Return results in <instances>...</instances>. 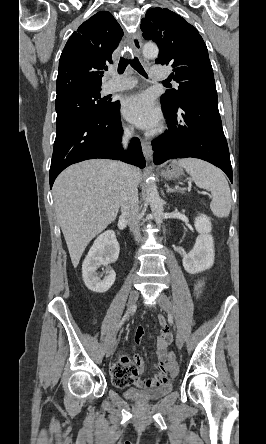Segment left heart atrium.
<instances>
[{
	"mask_svg": "<svg viewBox=\"0 0 266 444\" xmlns=\"http://www.w3.org/2000/svg\"><path fill=\"white\" fill-rule=\"evenodd\" d=\"M122 112L132 124L142 129H151L160 121V112L152 98L145 93L132 95L125 99Z\"/></svg>",
	"mask_w": 266,
	"mask_h": 444,
	"instance_id": "left-heart-atrium-1",
	"label": "left heart atrium"
}]
</instances>
